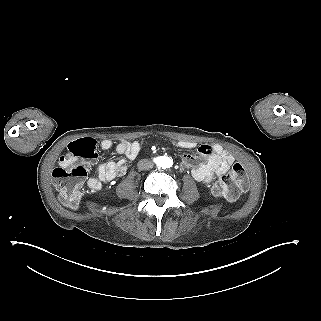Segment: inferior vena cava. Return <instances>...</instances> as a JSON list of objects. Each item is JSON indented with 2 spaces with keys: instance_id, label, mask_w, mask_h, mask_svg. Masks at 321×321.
<instances>
[{
  "instance_id": "inferior-vena-cava-1",
  "label": "inferior vena cava",
  "mask_w": 321,
  "mask_h": 321,
  "mask_svg": "<svg viewBox=\"0 0 321 321\" xmlns=\"http://www.w3.org/2000/svg\"><path fill=\"white\" fill-rule=\"evenodd\" d=\"M153 166H154L153 162L147 159L140 160L137 165L139 170H148L153 168Z\"/></svg>"
}]
</instances>
